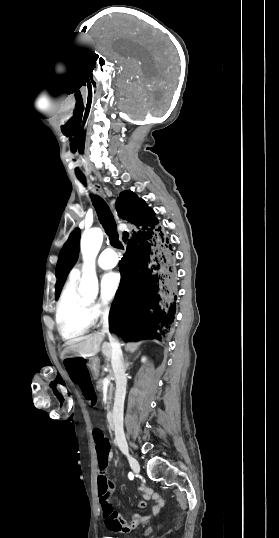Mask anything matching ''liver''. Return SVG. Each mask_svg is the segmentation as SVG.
<instances>
[{
	"mask_svg": "<svg viewBox=\"0 0 279 538\" xmlns=\"http://www.w3.org/2000/svg\"><path fill=\"white\" fill-rule=\"evenodd\" d=\"M104 334H89L84 336L80 342H67L65 352L69 354H75V356H82V358H90V356H96L98 352H102L103 356L110 358L112 354L111 346L108 342H103ZM103 342V344H102ZM102 344V346H101Z\"/></svg>",
	"mask_w": 279,
	"mask_h": 538,
	"instance_id": "6515ba94",
	"label": "liver"
}]
</instances>
